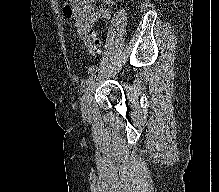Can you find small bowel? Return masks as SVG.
<instances>
[{
  "instance_id": "obj_1",
  "label": "small bowel",
  "mask_w": 219,
  "mask_h": 192,
  "mask_svg": "<svg viewBox=\"0 0 219 192\" xmlns=\"http://www.w3.org/2000/svg\"><path fill=\"white\" fill-rule=\"evenodd\" d=\"M97 0H66L64 13L75 20L77 37L83 41L88 51L91 52L92 31L94 25L100 20H107L111 14V7L115 0H101L102 7H96Z\"/></svg>"
}]
</instances>
